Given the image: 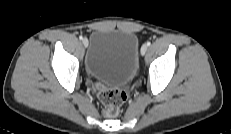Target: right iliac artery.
Returning <instances> with one entry per match:
<instances>
[{
  "instance_id": "obj_1",
  "label": "right iliac artery",
  "mask_w": 231,
  "mask_h": 134,
  "mask_svg": "<svg viewBox=\"0 0 231 134\" xmlns=\"http://www.w3.org/2000/svg\"><path fill=\"white\" fill-rule=\"evenodd\" d=\"M79 39H80V40H82V39H83V37H82V36H79Z\"/></svg>"
}]
</instances>
